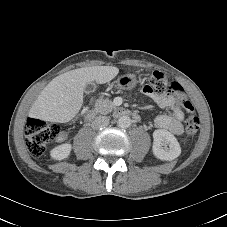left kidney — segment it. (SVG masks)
<instances>
[{"label":"left kidney","mask_w":227,"mask_h":227,"mask_svg":"<svg viewBox=\"0 0 227 227\" xmlns=\"http://www.w3.org/2000/svg\"><path fill=\"white\" fill-rule=\"evenodd\" d=\"M153 154L160 160L171 161L181 154V147L176 137L167 130L153 132Z\"/></svg>","instance_id":"5707ae66"}]
</instances>
